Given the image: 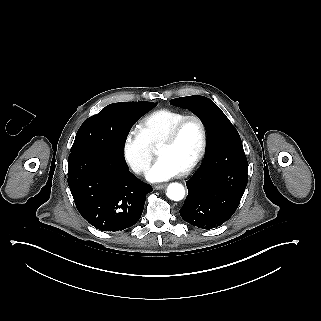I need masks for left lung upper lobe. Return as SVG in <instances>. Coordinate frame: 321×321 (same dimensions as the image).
Wrapping results in <instances>:
<instances>
[{"label":"left lung upper lobe","mask_w":321,"mask_h":321,"mask_svg":"<svg viewBox=\"0 0 321 321\" xmlns=\"http://www.w3.org/2000/svg\"><path fill=\"white\" fill-rule=\"evenodd\" d=\"M170 104L187 108L201 119L208 135L207 150L222 140L239 137L226 115L209 98L194 95L172 99Z\"/></svg>","instance_id":"obj_1"}]
</instances>
